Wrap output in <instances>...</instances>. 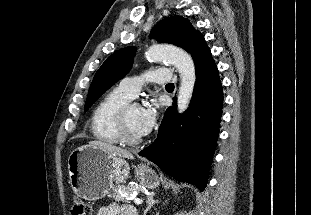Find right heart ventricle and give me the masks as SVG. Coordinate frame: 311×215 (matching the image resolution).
<instances>
[{"mask_svg": "<svg viewBox=\"0 0 311 215\" xmlns=\"http://www.w3.org/2000/svg\"><path fill=\"white\" fill-rule=\"evenodd\" d=\"M130 100L129 97L116 88L104 96L96 105L91 117V130L97 140L107 144L121 142L116 116L119 109Z\"/></svg>", "mask_w": 311, "mask_h": 215, "instance_id": "1", "label": "right heart ventricle"}]
</instances>
